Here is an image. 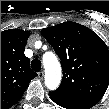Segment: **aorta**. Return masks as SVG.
<instances>
[{
  "mask_svg": "<svg viewBox=\"0 0 109 109\" xmlns=\"http://www.w3.org/2000/svg\"><path fill=\"white\" fill-rule=\"evenodd\" d=\"M43 65L45 68V85L49 90H56L61 82V65L52 52H47L43 56Z\"/></svg>",
  "mask_w": 109,
  "mask_h": 109,
  "instance_id": "762f6f07",
  "label": "aorta"
}]
</instances>
